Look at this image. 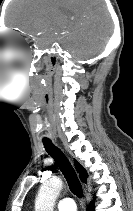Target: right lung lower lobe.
Instances as JSON below:
<instances>
[{"instance_id": "obj_1", "label": "right lung lower lobe", "mask_w": 133, "mask_h": 211, "mask_svg": "<svg viewBox=\"0 0 133 211\" xmlns=\"http://www.w3.org/2000/svg\"><path fill=\"white\" fill-rule=\"evenodd\" d=\"M87 211H94L93 205L90 204L87 208Z\"/></svg>"}]
</instances>
